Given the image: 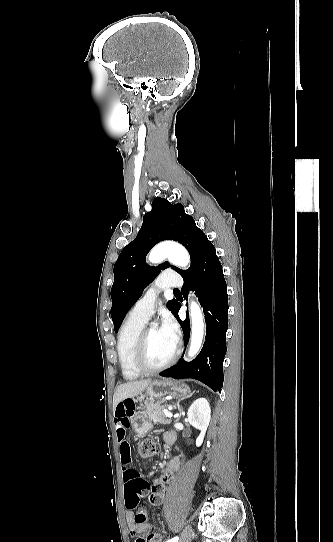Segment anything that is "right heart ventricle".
I'll list each match as a JSON object with an SVG mask.
<instances>
[{"label":"right heart ventricle","instance_id":"right-heart-ventricle-1","mask_svg":"<svg viewBox=\"0 0 333 542\" xmlns=\"http://www.w3.org/2000/svg\"><path fill=\"white\" fill-rule=\"evenodd\" d=\"M146 319L133 318L129 315L117 338V352L122 376L127 380H135L141 376L133 365V349L140 332L144 329Z\"/></svg>","mask_w":333,"mask_h":542}]
</instances>
